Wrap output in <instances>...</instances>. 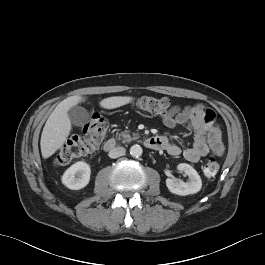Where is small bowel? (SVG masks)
<instances>
[{
	"label": "small bowel",
	"instance_id": "small-bowel-1",
	"mask_svg": "<svg viewBox=\"0 0 265 265\" xmlns=\"http://www.w3.org/2000/svg\"><path fill=\"white\" fill-rule=\"evenodd\" d=\"M163 123L169 128L180 124H187L194 132L192 146L183 151L166 136H160L165 141L163 149L172 156L183 154L186 160L195 163L208 153L218 156L224 153L221 132L215 124V113L204 104L172 106L170 114L163 118Z\"/></svg>",
	"mask_w": 265,
	"mask_h": 265
}]
</instances>
